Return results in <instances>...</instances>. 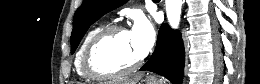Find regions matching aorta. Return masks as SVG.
I'll use <instances>...</instances> for the list:
<instances>
[{"instance_id":"aorta-1","label":"aorta","mask_w":260,"mask_h":84,"mask_svg":"<svg viewBox=\"0 0 260 84\" xmlns=\"http://www.w3.org/2000/svg\"><path fill=\"white\" fill-rule=\"evenodd\" d=\"M182 0H166V15L170 26L177 29L180 24Z\"/></svg>"}]
</instances>
